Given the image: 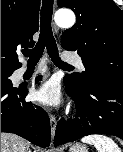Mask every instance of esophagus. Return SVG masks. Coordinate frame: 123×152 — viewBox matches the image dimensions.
<instances>
[{
	"instance_id": "esophagus-1",
	"label": "esophagus",
	"mask_w": 123,
	"mask_h": 152,
	"mask_svg": "<svg viewBox=\"0 0 123 152\" xmlns=\"http://www.w3.org/2000/svg\"><path fill=\"white\" fill-rule=\"evenodd\" d=\"M54 31H55V33H58V31H59V29L56 25H54ZM56 125H57L56 117L53 114H50V127H51L52 138H54V136H55Z\"/></svg>"
}]
</instances>
